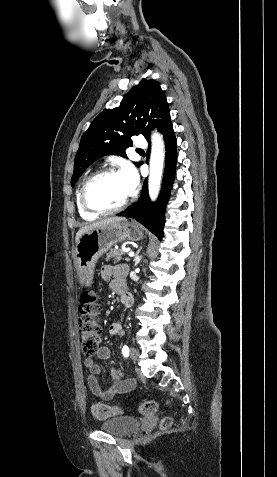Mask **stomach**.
I'll list each match as a JSON object with an SVG mask.
<instances>
[{
  "instance_id": "1",
  "label": "stomach",
  "mask_w": 277,
  "mask_h": 477,
  "mask_svg": "<svg viewBox=\"0 0 277 477\" xmlns=\"http://www.w3.org/2000/svg\"><path fill=\"white\" fill-rule=\"evenodd\" d=\"M144 238L143 228L135 221L113 222L84 233L76 243L75 268L81 286L90 285L97 260L113 245Z\"/></svg>"
}]
</instances>
